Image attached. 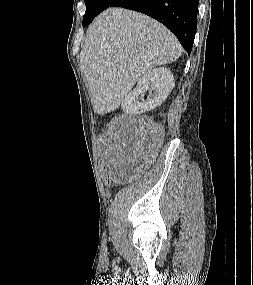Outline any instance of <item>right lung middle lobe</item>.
Wrapping results in <instances>:
<instances>
[{"label":"right lung middle lobe","instance_id":"right-lung-middle-lobe-1","mask_svg":"<svg viewBox=\"0 0 253 285\" xmlns=\"http://www.w3.org/2000/svg\"><path fill=\"white\" fill-rule=\"evenodd\" d=\"M115 0H85L86 12L83 16V27L87 26L100 12L108 8Z\"/></svg>","mask_w":253,"mask_h":285}]
</instances>
